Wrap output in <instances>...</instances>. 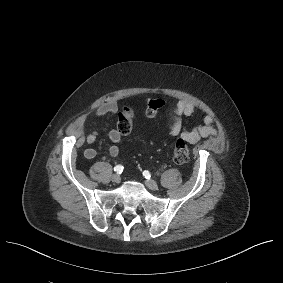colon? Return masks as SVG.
I'll list each match as a JSON object with an SVG mask.
<instances>
[{
	"label": "colon",
	"mask_w": 283,
	"mask_h": 283,
	"mask_svg": "<svg viewBox=\"0 0 283 283\" xmlns=\"http://www.w3.org/2000/svg\"><path fill=\"white\" fill-rule=\"evenodd\" d=\"M164 106V101L160 98H152L146 101V115L154 117ZM134 122V112L131 108L125 107L118 115L117 131L124 136L131 132ZM190 151L188 145L183 140H178L173 150V160L176 164L182 165L189 160Z\"/></svg>",
	"instance_id": "colon-1"
}]
</instances>
